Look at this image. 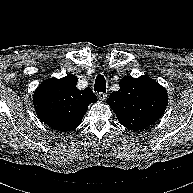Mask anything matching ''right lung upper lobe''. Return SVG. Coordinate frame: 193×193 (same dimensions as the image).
<instances>
[{"mask_svg": "<svg viewBox=\"0 0 193 193\" xmlns=\"http://www.w3.org/2000/svg\"><path fill=\"white\" fill-rule=\"evenodd\" d=\"M77 81L74 75L47 79L34 92L33 105L38 117L54 130L67 132L75 129L89 104L97 101L90 88L78 90Z\"/></svg>", "mask_w": 193, "mask_h": 193, "instance_id": "cb5924a9", "label": "right lung upper lobe"}]
</instances>
